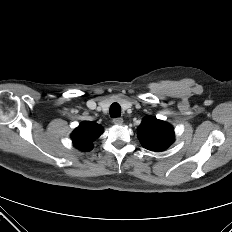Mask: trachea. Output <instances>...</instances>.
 Masks as SVG:
<instances>
[{
  "label": "trachea",
  "mask_w": 232,
  "mask_h": 232,
  "mask_svg": "<svg viewBox=\"0 0 232 232\" xmlns=\"http://www.w3.org/2000/svg\"><path fill=\"white\" fill-rule=\"evenodd\" d=\"M110 116L112 118L120 117L121 116V107L118 103H113L110 106Z\"/></svg>",
  "instance_id": "obj_1"
}]
</instances>
